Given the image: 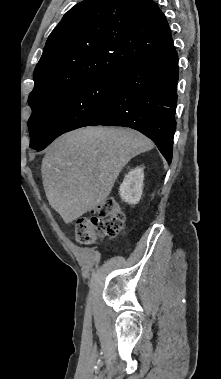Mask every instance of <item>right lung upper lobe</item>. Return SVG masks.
Listing matches in <instances>:
<instances>
[{
    "mask_svg": "<svg viewBox=\"0 0 221 379\" xmlns=\"http://www.w3.org/2000/svg\"><path fill=\"white\" fill-rule=\"evenodd\" d=\"M173 43L153 0H84L47 39L28 102L100 73L120 72Z\"/></svg>",
    "mask_w": 221,
    "mask_h": 379,
    "instance_id": "right-lung-upper-lobe-1",
    "label": "right lung upper lobe"
}]
</instances>
